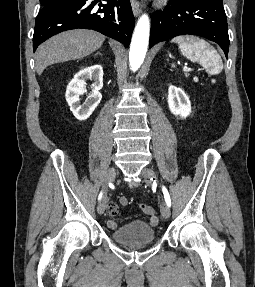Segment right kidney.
I'll list each match as a JSON object with an SVG mask.
<instances>
[{
  "label": "right kidney",
  "instance_id": "obj_1",
  "mask_svg": "<svg viewBox=\"0 0 255 287\" xmlns=\"http://www.w3.org/2000/svg\"><path fill=\"white\" fill-rule=\"evenodd\" d=\"M86 80H93V90L89 94V100L85 104H80L79 96L86 92ZM103 88V68L102 66H89V68H82L80 72L75 74L73 80L69 82L65 94L66 102L70 106L72 114L77 120H87L100 104L102 96L99 92Z\"/></svg>",
  "mask_w": 255,
  "mask_h": 287
}]
</instances>
